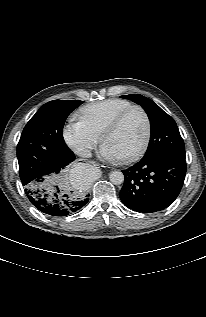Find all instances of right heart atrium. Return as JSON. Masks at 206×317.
<instances>
[{
	"label": "right heart atrium",
	"instance_id": "right-heart-atrium-1",
	"mask_svg": "<svg viewBox=\"0 0 206 317\" xmlns=\"http://www.w3.org/2000/svg\"><path fill=\"white\" fill-rule=\"evenodd\" d=\"M63 138L78 155L87 156L99 142V137L81 119H70L63 128Z\"/></svg>",
	"mask_w": 206,
	"mask_h": 317
}]
</instances>
